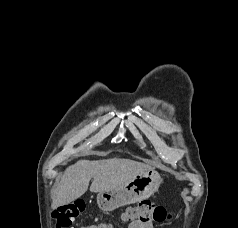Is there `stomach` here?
Returning <instances> with one entry per match:
<instances>
[{"label": "stomach", "instance_id": "obj_1", "mask_svg": "<svg viewBox=\"0 0 238 228\" xmlns=\"http://www.w3.org/2000/svg\"><path fill=\"white\" fill-rule=\"evenodd\" d=\"M162 180L154 169L146 171L116 189L99 192L97 204L103 211H113L142 201L158 191Z\"/></svg>", "mask_w": 238, "mask_h": 228}]
</instances>
